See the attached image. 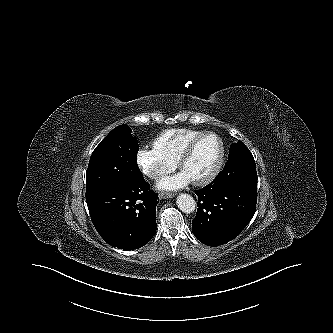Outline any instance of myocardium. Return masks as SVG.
<instances>
[{
    "label": "myocardium",
    "instance_id": "myocardium-1",
    "mask_svg": "<svg viewBox=\"0 0 333 333\" xmlns=\"http://www.w3.org/2000/svg\"><path fill=\"white\" fill-rule=\"evenodd\" d=\"M208 136H212L215 137L218 142H219V155L218 158L215 162V164L213 165V167L210 169V171L205 174L203 177L193 180L192 183L195 185H204L207 184L209 182H211L219 173L223 161H224V156H225V147H224V143L222 141V139L219 137V135H217L214 132H203L200 135H198L197 137H195L193 140H191L187 146L184 148V150L182 151L177 163H178V167L182 170V167L184 165V163L188 160V158L192 155V153L194 152V150L196 149L197 145L206 137Z\"/></svg>",
    "mask_w": 333,
    "mask_h": 333
}]
</instances>
